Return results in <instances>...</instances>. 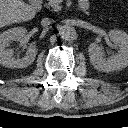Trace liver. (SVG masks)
Wrapping results in <instances>:
<instances>
[{
	"label": "liver",
	"mask_w": 128,
	"mask_h": 128,
	"mask_svg": "<svg viewBox=\"0 0 128 128\" xmlns=\"http://www.w3.org/2000/svg\"><path fill=\"white\" fill-rule=\"evenodd\" d=\"M35 9L23 0H0V28L34 18Z\"/></svg>",
	"instance_id": "6515ba94"
}]
</instances>
